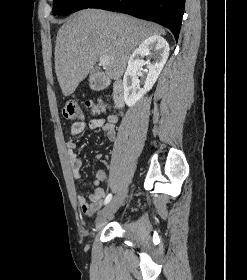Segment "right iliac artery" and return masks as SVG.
I'll return each instance as SVG.
<instances>
[{"mask_svg": "<svg viewBox=\"0 0 247 280\" xmlns=\"http://www.w3.org/2000/svg\"><path fill=\"white\" fill-rule=\"evenodd\" d=\"M111 199H112V194L109 193V194L106 196V198H105L104 204H105V205L108 204V203L110 202Z\"/></svg>", "mask_w": 247, "mask_h": 280, "instance_id": "right-iliac-artery-1", "label": "right iliac artery"}]
</instances>
